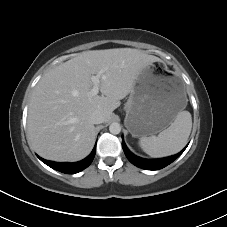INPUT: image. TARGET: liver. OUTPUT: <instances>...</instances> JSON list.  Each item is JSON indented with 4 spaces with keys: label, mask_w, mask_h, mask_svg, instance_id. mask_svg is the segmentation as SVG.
<instances>
[{
    "label": "liver",
    "mask_w": 227,
    "mask_h": 227,
    "mask_svg": "<svg viewBox=\"0 0 227 227\" xmlns=\"http://www.w3.org/2000/svg\"><path fill=\"white\" fill-rule=\"evenodd\" d=\"M159 61L137 49L115 48L80 53L50 70L35 86L29 104L27 131L34 150L58 162L85 158L95 142L91 114L101 111L109 121L139 72ZM98 73L102 95L91 97V75Z\"/></svg>",
    "instance_id": "obj_1"
}]
</instances>
